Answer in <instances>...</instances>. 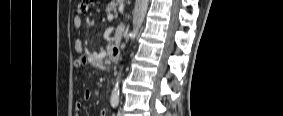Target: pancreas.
I'll return each instance as SVG.
<instances>
[{"instance_id": "1", "label": "pancreas", "mask_w": 283, "mask_h": 116, "mask_svg": "<svg viewBox=\"0 0 283 116\" xmlns=\"http://www.w3.org/2000/svg\"><path fill=\"white\" fill-rule=\"evenodd\" d=\"M116 7H117V3L112 2V3L108 4V6L106 8V12L108 14H110L112 11L116 10Z\"/></svg>"}]
</instances>
